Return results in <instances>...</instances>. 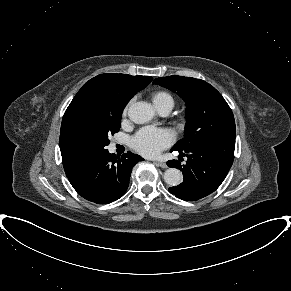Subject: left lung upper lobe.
<instances>
[{
    "instance_id": "1",
    "label": "left lung upper lobe",
    "mask_w": 291,
    "mask_h": 291,
    "mask_svg": "<svg viewBox=\"0 0 291 291\" xmlns=\"http://www.w3.org/2000/svg\"><path fill=\"white\" fill-rule=\"evenodd\" d=\"M153 84L177 92L186 102L185 135L172 149L183 150L214 140H235L233 113L212 85L201 79L182 76L156 78Z\"/></svg>"
}]
</instances>
